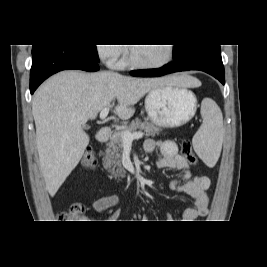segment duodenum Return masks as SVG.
Here are the masks:
<instances>
[{
  "instance_id": "410a0bca",
  "label": "duodenum",
  "mask_w": 267,
  "mask_h": 267,
  "mask_svg": "<svg viewBox=\"0 0 267 267\" xmlns=\"http://www.w3.org/2000/svg\"><path fill=\"white\" fill-rule=\"evenodd\" d=\"M111 136V130L109 128H102L97 133V140L99 142H106Z\"/></svg>"
}]
</instances>
